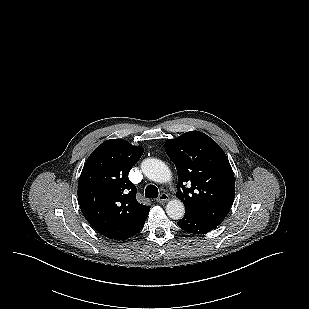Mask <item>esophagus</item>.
<instances>
[{"label": "esophagus", "instance_id": "obj_1", "mask_svg": "<svg viewBox=\"0 0 309 309\" xmlns=\"http://www.w3.org/2000/svg\"><path fill=\"white\" fill-rule=\"evenodd\" d=\"M168 200H169V196L165 192H162L157 198L158 203H164V202H167Z\"/></svg>", "mask_w": 309, "mask_h": 309}]
</instances>
